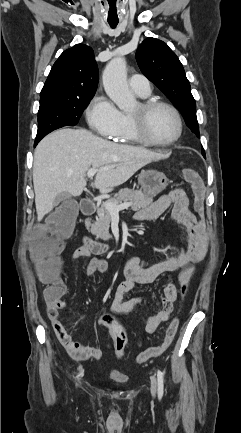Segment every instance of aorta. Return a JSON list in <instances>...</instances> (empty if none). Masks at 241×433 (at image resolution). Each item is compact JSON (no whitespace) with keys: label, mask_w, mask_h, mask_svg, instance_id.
Returning a JSON list of instances; mask_svg holds the SVG:
<instances>
[{"label":"aorta","mask_w":241,"mask_h":433,"mask_svg":"<svg viewBox=\"0 0 241 433\" xmlns=\"http://www.w3.org/2000/svg\"><path fill=\"white\" fill-rule=\"evenodd\" d=\"M103 86L109 98L123 111L136 105V99L127 83L126 61L122 57L113 58L103 72Z\"/></svg>","instance_id":"obj_1"}]
</instances>
